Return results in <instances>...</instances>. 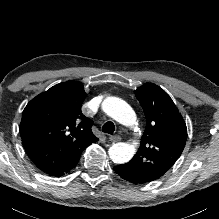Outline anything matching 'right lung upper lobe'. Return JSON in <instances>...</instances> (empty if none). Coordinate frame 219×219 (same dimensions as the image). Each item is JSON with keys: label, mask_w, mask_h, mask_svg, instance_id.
Here are the masks:
<instances>
[{"label": "right lung upper lobe", "mask_w": 219, "mask_h": 219, "mask_svg": "<svg viewBox=\"0 0 219 219\" xmlns=\"http://www.w3.org/2000/svg\"><path fill=\"white\" fill-rule=\"evenodd\" d=\"M86 98L80 82L59 83L31 100L20 124L23 146L41 171H51L79 160L98 138L93 121L81 112Z\"/></svg>", "instance_id": "obj_1"}]
</instances>
